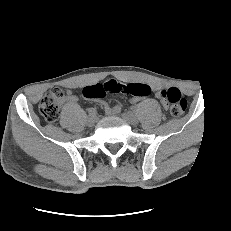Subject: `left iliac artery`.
<instances>
[{"label":"left iliac artery","mask_w":231,"mask_h":231,"mask_svg":"<svg viewBox=\"0 0 231 231\" xmlns=\"http://www.w3.org/2000/svg\"><path fill=\"white\" fill-rule=\"evenodd\" d=\"M133 111H136V106H132L131 108Z\"/></svg>","instance_id":"1"}]
</instances>
